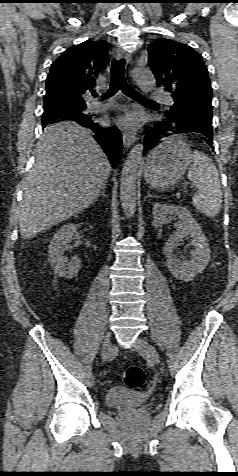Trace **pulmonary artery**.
Masks as SVG:
<instances>
[{"label": "pulmonary artery", "mask_w": 238, "mask_h": 476, "mask_svg": "<svg viewBox=\"0 0 238 476\" xmlns=\"http://www.w3.org/2000/svg\"><path fill=\"white\" fill-rule=\"evenodd\" d=\"M151 99L152 100H157V101H162L166 104H172V98L167 95L166 93L160 91V90H154L151 94ZM112 105L111 102H98L95 101L90 105V108L96 112L103 111L107 108H109Z\"/></svg>", "instance_id": "1"}]
</instances>
